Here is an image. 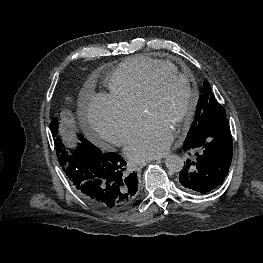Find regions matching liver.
I'll list each match as a JSON object with an SVG mask.
<instances>
[{
	"label": "liver",
	"mask_w": 263,
	"mask_h": 263,
	"mask_svg": "<svg viewBox=\"0 0 263 263\" xmlns=\"http://www.w3.org/2000/svg\"><path fill=\"white\" fill-rule=\"evenodd\" d=\"M65 113H66V114H68L69 112H68V111H66Z\"/></svg>",
	"instance_id": "liver-1"
}]
</instances>
